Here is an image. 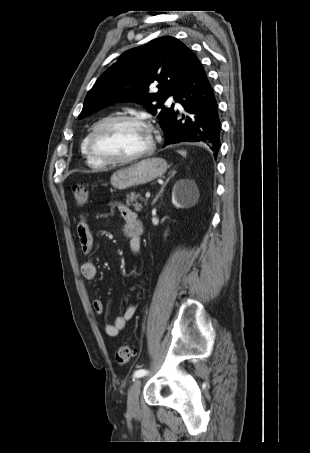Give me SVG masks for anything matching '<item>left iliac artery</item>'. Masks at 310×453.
<instances>
[{
	"label": "left iliac artery",
	"mask_w": 310,
	"mask_h": 453,
	"mask_svg": "<svg viewBox=\"0 0 310 453\" xmlns=\"http://www.w3.org/2000/svg\"><path fill=\"white\" fill-rule=\"evenodd\" d=\"M147 373H148L147 370H145V369H139V370H136V371L134 372L133 377H134V378H139V377L145 376Z\"/></svg>",
	"instance_id": "44dca946"
}]
</instances>
